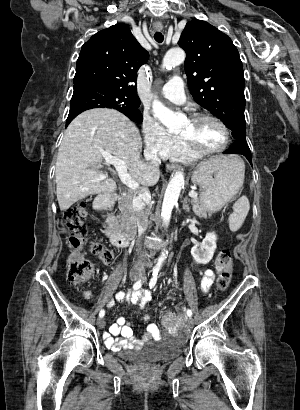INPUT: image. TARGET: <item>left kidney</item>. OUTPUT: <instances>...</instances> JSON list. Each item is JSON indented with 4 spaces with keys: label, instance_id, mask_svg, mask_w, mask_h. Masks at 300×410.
Returning <instances> with one entry per match:
<instances>
[{
    "label": "left kidney",
    "instance_id": "1",
    "mask_svg": "<svg viewBox=\"0 0 300 410\" xmlns=\"http://www.w3.org/2000/svg\"><path fill=\"white\" fill-rule=\"evenodd\" d=\"M217 236L214 232H208L201 244H196L191 249V255L197 264H207L213 258L216 250Z\"/></svg>",
    "mask_w": 300,
    "mask_h": 410
}]
</instances>
